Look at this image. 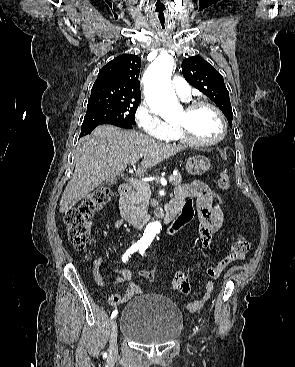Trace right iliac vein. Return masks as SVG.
Listing matches in <instances>:
<instances>
[{"mask_svg":"<svg viewBox=\"0 0 295 367\" xmlns=\"http://www.w3.org/2000/svg\"><path fill=\"white\" fill-rule=\"evenodd\" d=\"M110 344H109V354L110 357H115L118 352V346H117V334H118V328L116 320H113L111 322L110 326Z\"/></svg>","mask_w":295,"mask_h":367,"instance_id":"63e3f726","label":"right iliac vein"}]
</instances>
